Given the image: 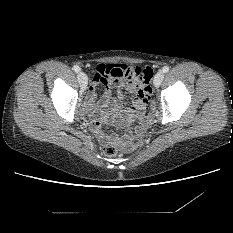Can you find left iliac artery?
<instances>
[{
	"mask_svg": "<svg viewBox=\"0 0 233 233\" xmlns=\"http://www.w3.org/2000/svg\"><path fill=\"white\" fill-rule=\"evenodd\" d=\"M162 71H163L164 73H167V72L169 71V67H168V66H164V67L162 68Z\"/></svg>",
	"mask_w": 233,
	"mask_h": 233,
	"instance_id": "obj_1",
	"label": "left iliac artery"
}]
</instances>
